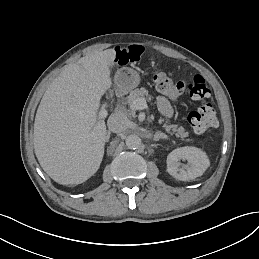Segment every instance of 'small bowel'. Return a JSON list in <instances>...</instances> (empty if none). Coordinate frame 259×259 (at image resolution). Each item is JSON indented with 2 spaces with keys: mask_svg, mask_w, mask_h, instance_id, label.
Instances as JSON below:
<instances>
[{
  "mask_svg": "<svg viewBox=\"0 0 259 259\" xmlns=\"http://www.w3.org/2000/svg\"><path fill=\"white\" fill-rule=\"evenodd\" d=\"M143 51V47L138 44H132L124 47L118 46L114 49L115 61L119 64L137 62L143 54ZM157 106L159 111L165 117H171L173 115V108L166 98L158 97Z\"/></svg>",
  "mask_w": 259,
  "mask_h": 259,
  "instance_id": "obj_1",
  "label": "small bowel"
}]
</instances>
